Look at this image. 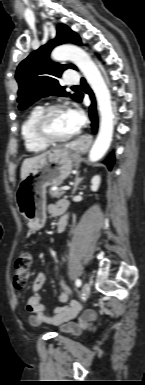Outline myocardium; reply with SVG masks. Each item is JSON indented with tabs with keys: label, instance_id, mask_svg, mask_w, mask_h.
I'll return each mask as SVG.
<instances>
[{
	"label": "myocardium",
	"instance_id": "1",
	"mask_svg": "<svg viewBox=\"0 0 145 385\" xmlns=\"http://www.w3.org/2000/svg\"><path fill=\"white\" fill-rule=\"evenodd\" d=\"M60 110H65V106L62 104H54L47 106L42 109L40 114L37 116L35 123H34V133L36 137L44 142L45 144H58V143H66L71 141L72 139L76 138L79 134V131L77 130L75 133H73L70 136L57 138L50 134L48 130V120L50 116Z\"/></svg>",
	"mask_w": 145,
	"mask_h": 385
}]
</instances>
